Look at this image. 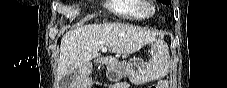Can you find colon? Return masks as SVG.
Returning a JSON list of instances; mask_svg holds the SVG:
<instances>
[{
  "label": "colon",
  "mask_w": 227,
  "mask_h": 88,
  "mask_svg": "<svg viewBox=\"0 0 227 88\" xmlns=\"http://www.w3.org/2000/svg\"><path fill=\"white\" fill-rule=\"evenodd\" d=\"M151 88H163V86H162V85L157 84V85L152 86Z\"/></svg>",
  "instance_id": "obj_1"
}]
</instances>
